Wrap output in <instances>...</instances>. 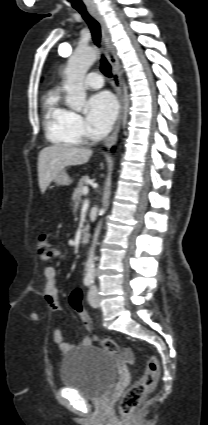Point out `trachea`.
<instances>
[{"label":"trachea","mask_w":208,"mask_h":425,"mask_svg":"<svg viewBox=\"0 0 208 425\" xmlns=\"http://www.w3.org/2000/svg\"><path fill=\"white\" fill-rule=\"evenodd\" d=\"M77 11L82 15L83 19L87 22L90 27L93 40L97 46H100L101 41V29L99 23L88 13L86 8L77 9ZM101 72L107 76L111 77V66L106 60V58L102 55L101 57Z\"/></svg>","instance_id":"trachea-1"}]
</instances>
